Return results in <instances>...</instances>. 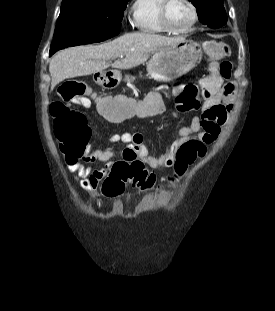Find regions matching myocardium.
Listing matches in <instances>:
<instances>
[{"label": "myocardium", "mask_w": 275, "mask_h": 311, "mask_svg": "<svg viewBox=\"0 0 275 311\" xmlns=\"http://www.w3.org/2000/svg\"><path fill=\"white\" fill-rule=\"evenodd\" d=\"M172 1L173 0H162V3L160 5V10H159L161 24L168 32L173 33V34H182V33H186L190 31L195 26L198 20V9L196 5L194 4L192 0H185L192 10V19L186 27L177 29L172 26V24L169 21V17H168V9Z\"/></svg>", "instance_id": "obj_1"}]
</instances>
